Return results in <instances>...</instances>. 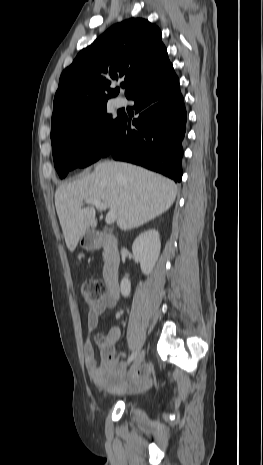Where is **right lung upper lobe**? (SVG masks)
<instances>
[{
    "instance_id": "right-lung-upper-lobe-1",
    "label": "right lung upper lobe",
    "mask_w": 263,
    "mask_h": 465,
    "mask_svg": "<svg viewBox=\"0 0 263 465\" xmlns=\"http://www.w3.org/2000/svg\"><path fill=\"white\" fill-rule=\"evenodd\" d=\"M171 66L157 26L142 18L117 23L81 50L61 74L52 123L116 96L119 88L112 89L113 82L127 83L125 95L129 97Z\"/></svg>"
}]
</instances>
